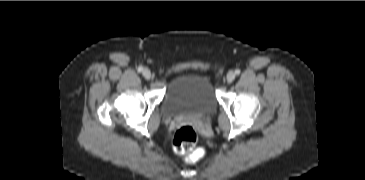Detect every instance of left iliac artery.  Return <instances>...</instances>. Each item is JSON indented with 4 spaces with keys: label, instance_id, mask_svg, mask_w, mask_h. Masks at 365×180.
Wrapping results in <instances>:
<instances>
[{
    "label": "left iliac artery",
    "instance_id": "left-iliac-artery-1",
    "mask_svg": "<svg viewBox=\"0 0 365 180\" xmlns=\"http://www.w3.org/2000/svg\"><path fill=\"white\" fill-rule=\"evenodd\" d=\"M235 73H236L237 75H239V74H240V70H239V69H236V70H235Z\"/></svg>",
    "mask_w": 365,
    "mask_h": 180
}]
</instances>
